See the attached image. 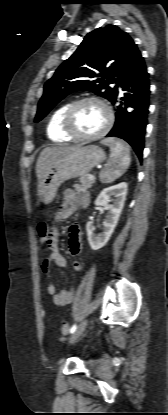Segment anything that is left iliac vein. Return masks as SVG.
<instances>
[{
    "mask_svg": "<svg viewBox=\"0 0 168 415\" xmlns=\"http://www.w3.org/2000/svg\"><path fill=\"white\" fill-rule=\"evenodd\" d=\"M88 321L84 320L81 324L76 328L75 332L70 337L69 343L75 342L85 331Z\"/></svg>",
    "mask_w": 168,
    "mask_h": 415,
    "instance_id": "left-iliac-vein-1",
    "label": "left iliac vein"
}]
</instances>
